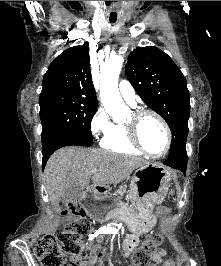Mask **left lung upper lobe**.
I'll return each mask as SVG.
<instances>
[{"instance_id": "1", "label": "left lung upper lobe", "mask_w": 221, "mask_h": 266, "mask_svg": "<svg viewBox=\"0 0 221 266\" xmlns=\"http://www.w3.org/2000/svg\"><path fill=\"white\" fill-rule=\"evenodd\" d=\"M125 72L141 99L169 125V155L185 150L190 96L180 68L159 48L146 46L129 54Z\"/></svg>"}]
</instances>
